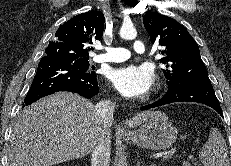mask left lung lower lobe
I'll list each match as a JSON object with an SVG mask.
<instances>
[{
  "instance_id": "left-lung-lower-lobe-1",
  "label": "left lung lower lobe",
  "mask_w": 231,
  "mask_h": 166,
  "mask_svg": "<svg viewBox=\"0 0 231 166\" xmlns=\"http://www.w3.org/2000/svg\"><path fill=\"white\" fill-rule=\"evenodd\" d=\"M197 102L215 109L223 116L220 103L215 95L211 83L186 82L168 89L167 93L160 100L141 107V110H148L173 102Z\"/></svg>"
}]
</instances>
